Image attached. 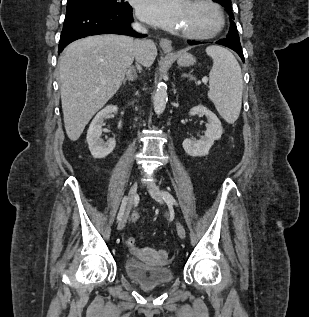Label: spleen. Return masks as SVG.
<instances>
[{"label": "spleen", "mask_w": 309, "mask_h": 317, "mask_svg": "<svg viewBox=\"0 0 309 317\" xmlns=\"http://www.w3.org/2000/svg\"><path fill=\"white\" fill-rule=\"evenodd\" d=\"M206 53L213 60L209 73L208 98L218 113L228 123H234L240 114L242 104L243 77L241 67L234 55L227 49L211 45Z\"/></svg>", "instance_id": "1"}]
</instances>
